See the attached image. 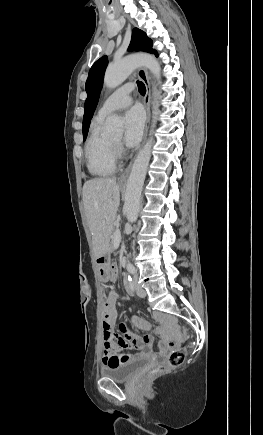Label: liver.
Wrapping results in <instances>:
<instances>
[{"mask_svg": "<svg viewBox=\"0 0 263 435\" xmlns=\"http://www.w3.org/2000/svg\"><path fill=\"white\" fill-rule=\"evenodd\" d=\"M82 196L94 254L99 257L109 246L120 204V187L116 178H95L84 183Z\"/></svg>", "mask_w": 263, "mask_h": 435, "instance_id": "6515ba94", "label": "liver"}]
</instances>
